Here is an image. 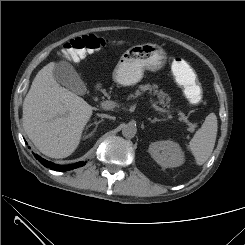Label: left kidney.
<instances>
[{"label":"left kidney","mask_w":245,"mask_h":245,"mask_svg":"<svg viewBox=\"0 0 245 245\" xmlns=\"http://www.w3.org/2000/svg\"><path fill=\"white\" fill-rule=\"evenodd\" d=\"M149 153L163 168L178 167L184 163V154L180 145L171 140L151 143Z\"/></svg>","instance_id":"1"}]
</instances>
